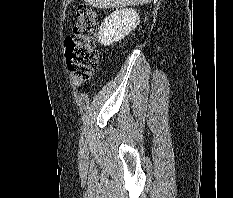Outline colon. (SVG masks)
<instances>
[{
    "label": "colon",
    "instance_id": "1",
    "mask_svg": "<svg viewBox=\"0 0 233 198\" xmlns=\"http://www.w3.org/2000/svg\"><path fill=\"white\" fill-rule=\"evenodd\" d=\"M97 25L96 12L88 5H79L73 32L64 42L67 65L77 85L88 81L98 66L99 53L94 44Z\"/></svg>",
    "mask_w": 233,
    "mask_h": 198
}]
</instances>
